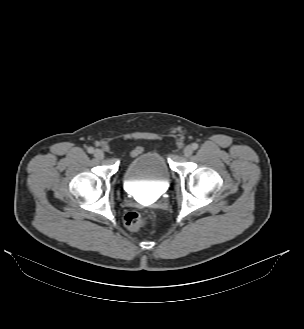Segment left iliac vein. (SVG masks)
Returning a JSON list of instances; mask_svg holds the SVG:
<instances>
[{"instance_id":"1","label":"left iliac vein","mask_w":304,"mask_h":329,"mask_svg":"<svg viewBox=\"0 0 304 329\" xmlns=\"http://www.w3.org/2000/svg\"><path fill=\"white\" fill-rule=\"evenodd\" d=\"M193 153V148L191 146H186L184 149V156L190 157Z\"/></svg>"}]
</instances>
